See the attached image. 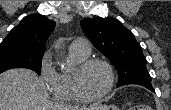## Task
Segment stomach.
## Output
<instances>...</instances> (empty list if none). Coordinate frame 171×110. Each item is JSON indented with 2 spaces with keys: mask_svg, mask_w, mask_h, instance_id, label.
<instances>
[{
  "mask_svg": "<svg viewBox=\"0 0 171 110\" xmlns=\"http://www.w3.org/2000/svg\"><path fill=\"white\" fill-rule=\"evenodd\" d=\"M89 110H118L116 106H96Z\"/></svg>",
  "mask_w": 171,
  "mask_h": 110,
  "instance_id": "0dacf381",
  "label": "stomach"
}]
</instances>
